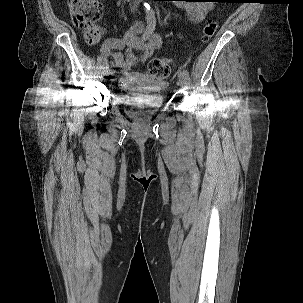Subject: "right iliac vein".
I'll return each mask as SVG.
<instances>
[{"label":"right iliac vein","mask_w":303,"mask_h":303,"mask_svg":"<svg viewBox=\"0 0 303 303\" xmlns=\"http://www.w3.org/2000/svg\"><path fill=\"white\" fill-rule=\"evenodd\" d=\"M115 79H116V75H115V74H111L110 80H111V81H114Z\"/></svg>","instance_id":"1"}]
</instances>
